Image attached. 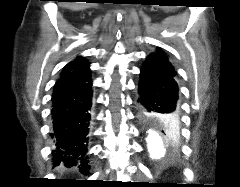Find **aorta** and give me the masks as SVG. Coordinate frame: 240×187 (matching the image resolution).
Segmentation results:
<instances>
[{
    "label": "aorta",
    "mask_w": 240,
    "mask_h": 187,
    "mask_svg": "<svg viewBox=\"0 0 240 187\" xmlns=\"http://www.w3.org/2000/svg\"><path fill=\"white\" fill-rule=\"evenodd\" d=\"M146 142L150 157L157 159L165 153V142L157 129L150 128L146 131Z\"/></svg>",
    "instance_id": "obj_1"
}]
</instances>
